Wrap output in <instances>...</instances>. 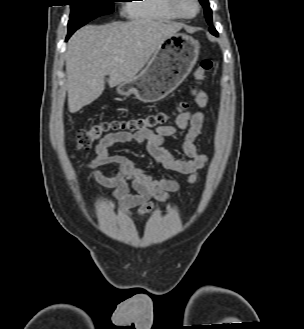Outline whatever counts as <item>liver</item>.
Listing matches in <instances>:
<instances>
[{
  "label": "liver",
  "instance_id": "6515ba94",
  "mask_svg": "<svg viewBox=\"0 0 304 329\" xmlns=\"http://www.w3.org/2000/svg\"><path fill=\"white\" fill-rule=\"evenodd\" d=\"M179 23L150 19L87 25L67 45L68 108L76 113L105 89L133 80L158 46L181 30Z\"/></svg>",
  "mask_w": 304,
  "mask_h": 329
}]
</instances>
